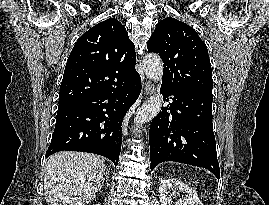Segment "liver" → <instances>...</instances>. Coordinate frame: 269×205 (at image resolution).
Masks as SVG:
<instances>
[{
    "instance_id": "6515ba94",
    "label": "liver",
    "mask_w": 269,
    "mask_h": 205,
    "mask_svg": "<svg viewBox=\"0 0 269 205\" xmlns=\"http://www.w3.org/2000/svg\"><path fill=\"white\" fill-rule=\"evenodd\" d=\"M106 166L89 153L61 151L47 160L44 175L48 205H87L100 190Z\"/></svg>"
}]
</instances>
